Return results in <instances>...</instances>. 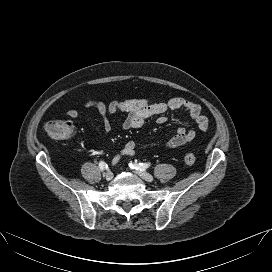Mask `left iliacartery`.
<instances>
[{"label": "left iliac artery", "instance_id": "obj_1", "mask_svg": "<svg viewBox=\"0 0 272 272\" xmlns=\"http://www.w3.org/2000/svg\"><path fill=\"white\" fill-rule=\"evenodd\" d=\"M130 168L145 171L148 167H150V163H129Z\"/></svg>", "mask_w": 272, "mask_h": 272}]
</instances>
